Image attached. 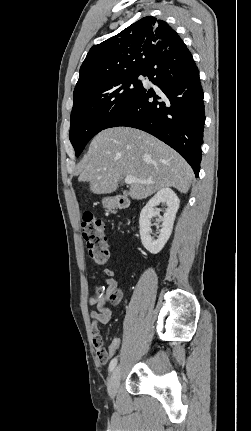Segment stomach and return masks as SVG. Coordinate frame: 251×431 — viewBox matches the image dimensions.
Segmentation results:
<instances>
[{"mask_svg": "<svg viewBox=\"0 0 251 431\" xmlns=\"http://www.w3.org/2000/svg\"><path fill=\"white\" fill-rule=\"evenodd\" d=\"M102 203H103V205H104V207H106V208H113L114 207V202H113V200L112 199H110V198H106V199H104L103 201H102Z\"/></svg>", "mask_w": 251, "mask_h": 431, "instance_id": "1", "label": "stomach"}]
</instances>
